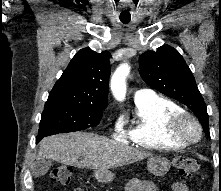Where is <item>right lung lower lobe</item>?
Returning a JSON list of instances; mask_svg holds the SVG:
<instances>
[{
  "label": "right lung lower lobe",
  "mask_w": 221,
  "mask_h": 191,
  "mask_svg": "<svg viewBox=\"0 0 221 191\" xmlns=\"http://www.w3.org/2000/svg\"><path fill=\"white\" fill-rule=\"evenodd\" d=\"M39 140H40V139H36V143H38V142H39Z\"/></svg>",
  "instance_id": "1"
}]
</instances>
